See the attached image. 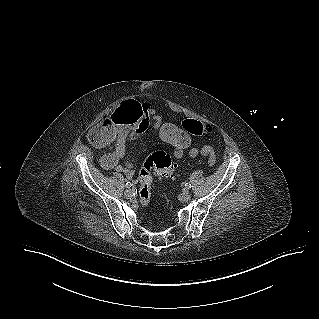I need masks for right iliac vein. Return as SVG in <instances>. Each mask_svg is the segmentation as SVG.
Instances as JSON below:
<instances>
[{
  "label": "right iliac vein",
  "instance_id": "obj_1",
  "mask_svg": "<svg viewBox=\"0 0 319 319\" xmlns=\"http://www.w3.org/2000/svg\"><path fill=\"white\" fill-rule=\"evenodd\" d=\"M134 195V191L132 189H127L125 192H124V196L126 198H132Z\"/></svg>",
  "mask_w": 319,
  "mask_h": 319
}]
</instances>
